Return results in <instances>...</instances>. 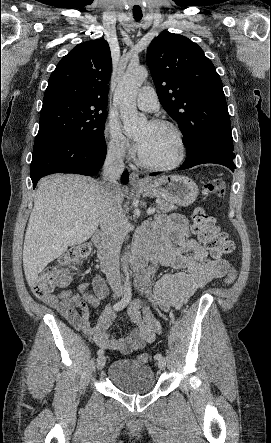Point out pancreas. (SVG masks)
I'll return each mask as SVG.
<instances>
[{"instance_id": "pancreas-1", "label": "pancreas", "mask_w": 271, "mask_h": 443, "mask_svg": "<svg viewBox=\"0 0 271 443\" xmlns=\"http://www.w3.org/2000/svg\"><path fill=\"white\" fill-rule=\"evenodd\" d=\"M158 212L165 214V212H171V210H177V206H174L172 202H165V200H158L157 202Z\"/></svg>"}]
</instances>
